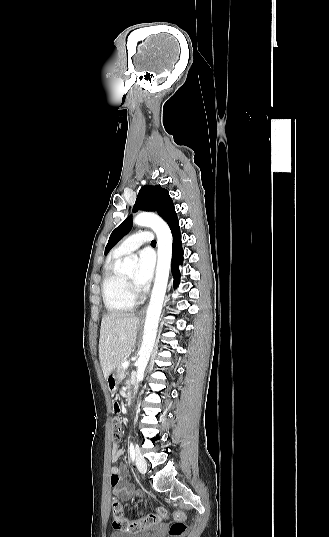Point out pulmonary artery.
I'll use <instances>...</instances> for the list:
<instances>
[{
    "mask_svg": "<svg viewBox=\"0 0 329 537\" xmlns=\"http://www.w3.org/2000/svg\"><path fill=\"white\" fill-rule=\"evenodd\" d=\"M153 235L149 231H139L126 238L114 251L117 255L128 254L144 244L151 243Z\"/></svg>",
    "mask_w": 329,
    "mask_h": 537,
    "instance_id": "e3ab8cb5",
    "label": "pulmonary artery"
}]
</instances>
